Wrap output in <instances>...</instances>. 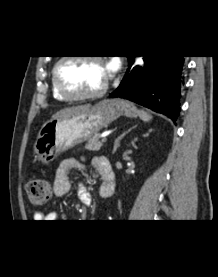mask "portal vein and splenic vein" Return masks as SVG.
Wrapping results in <instances>:
<instances>
[{
  "label": "portal vein and splenic vein",
  "mask_w": 218,
  "mask_h": 277,
  "mask_svg": "<svg viewBox=\"0 0 218 277\" xmlns=\"http://www.w3.org/2000/svg\"><path fill=\"white\" fill-rule=\"evenodd\" d=\"M107 141V138L106 137H103L102 138V142L105 143Z\"/></svg>",
  "instance_id": "18ae733b"
}]
</instances>
